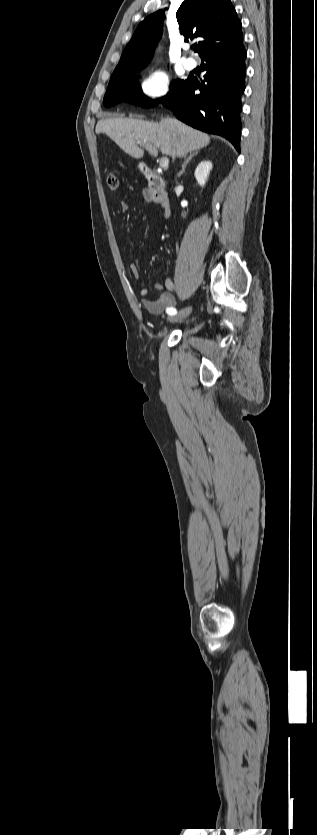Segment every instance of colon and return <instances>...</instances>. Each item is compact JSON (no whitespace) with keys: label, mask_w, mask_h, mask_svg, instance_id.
Wrapping results in <instances>:
<instances>
[{"label":"colon","mask_w":317,"mask_h":835,"mask_svg":"<svg viewBox=\"0 0 317 835\" xmlns=\"http://www.w3.org/2000/svg\"><path fill=\"white\" fill-rule=\"evenodd\" d=\"M106 182H107L108 187L111 190L117 189L118 184H119L118 177L115 173H108L107 177H106Z\"/></svg>","instance_id":"colon-1"}]
</instances>
